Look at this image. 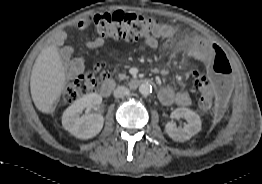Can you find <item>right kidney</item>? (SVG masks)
Instances as JSON below:
<instances>
[{
    "label": "right kidney",
    "instance_id": "obj_1",
    "mask_svg": "<svg viewBox=\"0 0 262 184\" xmlns=\"http://www.w3.org/2000/svg\"><path fill=\"white\" fill-rule=\"evenodd\" d=\"M101 102L102 97L96 93L85 95L76 100L63 113V128L79 139H90L96 136L103 127V116L100 114L80 116V114L86 108H98Z\"/></svg>",
    "mask_w": 262,
    "mask_h": 184
}]
</instances>
